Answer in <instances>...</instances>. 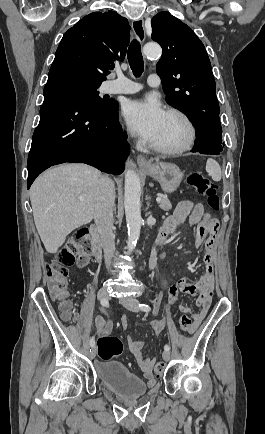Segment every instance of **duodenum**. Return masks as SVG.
<instances>
[{"label":"duodenum","instance_id":"410a0bca","mask_svg":"<svg viewBox=\"0 0 265 434\" xmlns=\"http://www.w3.org/2000/svg\"><path fill=\"white\" fill-rule=\"evenodd\" d=\"M91 241L93 246V254L97 260H100L103 254L102 245L99 238V229L97 226L93 225L90 227ZM160 247H156L148 258V264L152 269L158 262Z\"/></svg>","mask_w":265,"mask_h":434}]
</instances>
